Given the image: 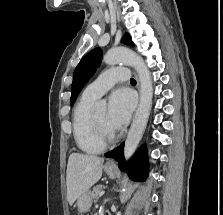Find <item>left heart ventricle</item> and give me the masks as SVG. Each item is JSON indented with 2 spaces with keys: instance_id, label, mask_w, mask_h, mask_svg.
Instances as JSON below:
<instances>
[{
  "instance_id": "obj_1",
  "label": "left heart ventricle",
  "mask_w": 223,
  "mask_h": 215,
  "mask_svg": "<svg viewBox=\"0 0 223 215\" xmlns=\"http://www.w3.org/2000/svg\"><path fill=\"white\" fill-rule=\"evenodd\" d=\"M95 115L104 130L105 138L111 140L115 134V129H113L107 122L106 108L95 111Z\"/></svg>"
}]
</instances>
